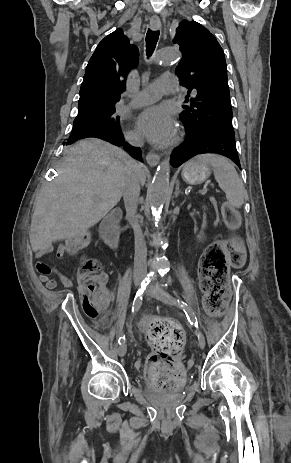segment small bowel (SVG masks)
<instances>
[{
  "label": "small bowel",
  "mask_w": 291,
  "mask_h": 463,
  "mask_svg": "<svg viewBox=\"0 0 291 463\" xmlns=\"http://www.w3.org/2000/svg\"><path fill=\"white\" fill-rule=\"evenodd\" d=\"M50 251V248L48 246H37L35 248L36 256L41 257L43 254L47 253ZM65 254V246L60 244L57 247L56 250V257L57 258H63ZM39 265H44L46 267V270H41L39 269ZM37 270L40 272L39 279L41 282L45 284L47 289H55L57 286V282L55 279L51 278L50 275H56L61 282V284L66 287V288H71L74 285V279L72 276H69L63 272H61L57 267H50L46 265L45 263L38 262L37 263ZM107 276L103 275L102 276V283L103 285L107 283ZM91 318H97L98 316L88 314Z\"/></svg>",
  "instance_id": "c3829d8e"
}]
</instances>
